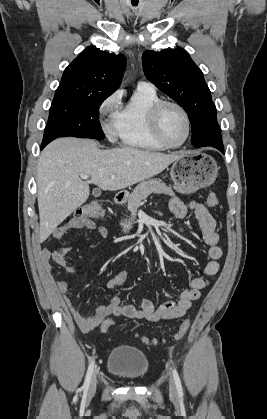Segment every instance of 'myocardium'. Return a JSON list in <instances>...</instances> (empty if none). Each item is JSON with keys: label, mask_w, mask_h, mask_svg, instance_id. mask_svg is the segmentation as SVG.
<instances>
[{"label": "myocardium", "mask_w": 267, "mask_h": 419, "mask_svg": "<svg viewBox=\"0 0 267 419\" xmlns=\"http://www.w3.org/2000/svg\"><path fill=\"white\" fill-rule=\"evenodd\" d=\"M172 106L180 111L186 124V134L184 139L178 144L169 143L163 136L160 127V117L165 107ZM149 126L154 138L165 148L175 149L183 146L189 139L191 133V121L186 109L179 103L170 100H160L149 112Z\"/></svg>", "instance_id": "myocardium-1"}]
</instances>
